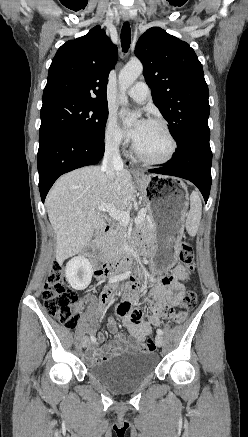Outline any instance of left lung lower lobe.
Here are the masks:
<instances>
[{"label": "left lung lower lobe", "instance_id": "left-lung-lower-lobe-1", "mask_svg": "<svg viewBox=\"0 0 248 437\" xmlns=\"http://www.w3.org/2000/svg\"><path fill=\"white\" fill-rule=\"evenodd\" d=\"M209 139V128L191 133L185 142L177 147V152L166 166L151 169L149 172L177 176L191 181L199 188L207 202L211 188L212 164Z\"/></svg>", "mask_w": 248, "mask_h": 437}]
</instances>
